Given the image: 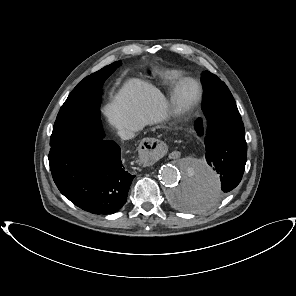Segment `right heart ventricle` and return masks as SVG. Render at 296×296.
Wrapping results in <instances>:
<instances>
[{"label": "right heart ventricle", "mask_w": 296, "mask_h": 296, "mask_svg": "<svg viewBox=\"0 0 296 296\" xmlns=\"http://www.w3.org/2000/svg\"><path fill=\"white\" fill-rule=\"evenodd\" d=\"M183 73L180 70H168L165 73L164 82L171 84L182 77Z\"/></svg>", "instance_id": "right-heart-ventricle-1"}]
</instances>
